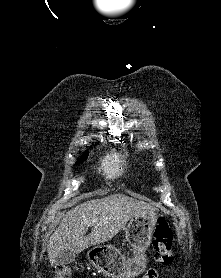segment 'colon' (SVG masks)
<instances>
[{"label":"colon","mask_w":221,"mask_h":278,"mask_svg":"<svg viewBox=\"0 0 221 278\" xmlns=\"http://www.w3.org/2000/svg\"><path fill=\"white\" fill-rule=\"evenodd\" d=\"M153 249L157 261L162 265H170L174 259L172 249V230L164 218H159L153 232ZM75 267L72 265H60L54 269L53 278H72ZM151 275L156 277L154 272Z\"/></svg>","instance_id":"5ec220e1"}]
</instances>
